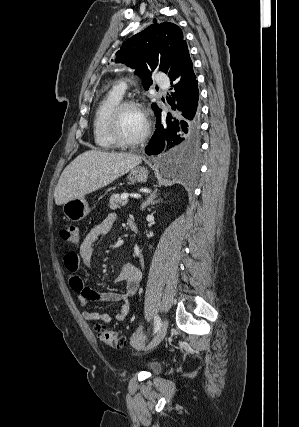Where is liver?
<instances>
[{"mask_svg":"<svg viewBox=\"0 0 299 427\" xmlns=\"http://www.w3.org/2000/svg\"><path fill=\"white\" fill-rule=\"evenodd\" d=\"M142 162L138 155L88 150L62 172L55 188L57 205L85 196L113 182Z\"/></svg>","mask_w":299,"mask_h":427,"instance_id":"6515ba94","label":"liver"}]
</instances>
